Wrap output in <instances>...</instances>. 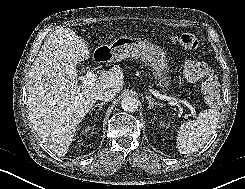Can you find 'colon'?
Returning <instances> with one entry per match:
<instances>
[{"label":"colon","mask_w":245,"mask_h":189,"mask_svg":"<svg viewBox=\"0 0 245 189\" xmlns=\"http://www.w3.org/2000/svg\"><path fill=\"white\" fill-rule=\"evenodd\" d=\"M173 42L188 50H195L199 47L198 39L192 34L187 33L173 37ZM183 72L185 79L189 82L202 81L204 90L203 104L205 106L217 107L220 104L219 81L202 58L187 60Z\"/></svg>","instance_id":"5ec220e1"}]
</instances>
